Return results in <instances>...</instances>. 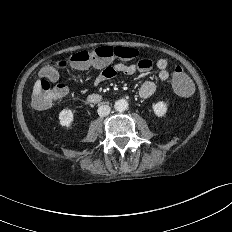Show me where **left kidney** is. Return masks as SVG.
I'll return each mask as SVG.
<instances>
[{"instance_id": "left-kidney-1", "label": "left kidney", "mask_w": 232, "mask_h": 232, "mask_svg": "<svg viewBox=\"0 0 232 232\" xmlns=\"http://www.w3.org/2000/svg\"><path fill=\"white\" fill-rule=\"evenodd\" d=\"M153 111L156 116L162 117L167 112V104L165 102H157L152 105Z\"/></svg>"}]
</instances>
